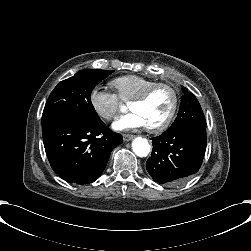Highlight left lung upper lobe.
<instances>
[{
  "label": "left lung upper lobe",
  "instance_id": "5c2ea615",
  "mask_svg": "<svg viewBox=\"0 0 251 251\" xmlns=\"http://www.w3.org/2000/svg\"><path fill=\"white\" fill-rule=\"evenodd\" d=\"M181 89L184 95L181 99L177 118L166 131H171L186 125L206 126V120L197 98L189 92L187 88L181 86Z\"/></svg>",
  "mask_w": 251,
  "mask_h": 251
}]
</instances>
